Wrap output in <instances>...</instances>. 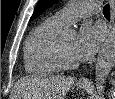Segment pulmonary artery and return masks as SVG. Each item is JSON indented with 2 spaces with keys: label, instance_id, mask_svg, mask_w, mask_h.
I'll return each instance as SVG.
<instances>
[{
  "label": "pulmonary artery",
  "instance_id": "pulmonary-artery-1",
  "mask_svg": "<svg viewBox=\"0 0 115 99\" xmlns=\"http://www.w3.org/2000/svg\"><path fill=\"white\" fill-rule=\"evenodd\" d=\"M97 1H77L56 12L50 19L56 24L66 27L77 20L98 13Z\"/></svg>",
  "mask_w": 115,
  "mask_h": 99
}]
</instances>
